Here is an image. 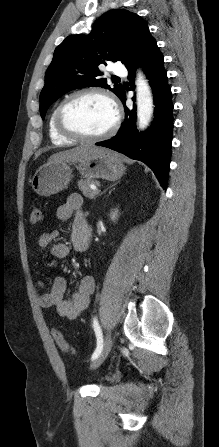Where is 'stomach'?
Returning <instances> with one entry per match:
<instances>
[{"instance_id":"obj_1","label":"stomach","mask_w":219,"mask_h":447,"mask_svg":"<svg viewBox=\"0 0 219 447\" xmlns=\"http://www.w3.org/2000/svg\"><path fill=\"white\" fill-rule=\"evenodd\" d=\"M75 167L89 180L102 178L115 181L125 171L122 157L108 149H103L89 160L78 162ZM72 170L69 162H47L31 179L32 189L41 196L56 194L68 187L72 179Z\"/></svg>"}]
</instances>
